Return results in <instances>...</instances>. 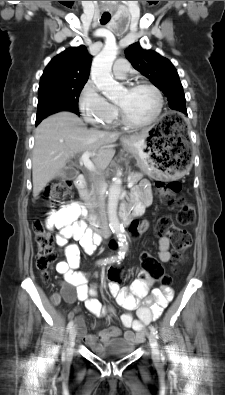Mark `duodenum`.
I'll list each match as a JSON object with an SVG mask.
<instances>
[{
  "instance_id": "410a0bca",
  "label": "duodenum",
  "mask_w": 225,
  "mask_h": 395,
  "mask_svg": "<svg viewBox=\"0 0 225 395\" xmlns=\"http://www.w3.org/2000/svg\"><path fill=\"white\" fill-rule=\"evenodd\" d=\"M85 178L83 175L77 176L75 180V185L76 188L80 191L84 190L85 188ZM133 215H138L137 210L131 209V208H125L120 212V218L124 224H128L131 222L132 216ZM91 225L94 231L96 232V235L100 238V236H107L109 234L108 230L106 229L105 225L103 222L96 218L92 217L91 218Z\"/></svg>"
}]
</instances>
